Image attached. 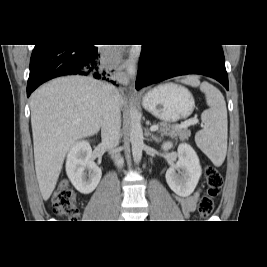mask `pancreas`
<instances>
[{
	"label": "pancreas",
	"instance_id": "obj_1",
	"mask_svg": "<svg viewBox=\"0 0 267 267\" xmlns=\"http://www.w3.org/2000/svg\"><path fill=\"white\" fill-rule=\"evenodd\" d=\"M160 129L159 133L161 136H169L173 139L179 138L181 141L187 140L191 132L187 128H179L176 125H169L167 123H159Z\"/></svg>",
	"mask_w": 267,
	"mask_h": 267
}]
</instances>
